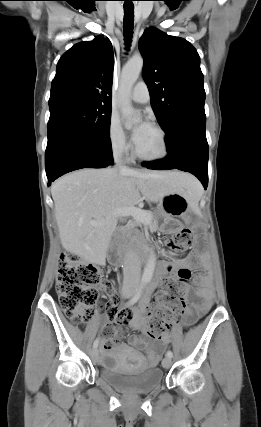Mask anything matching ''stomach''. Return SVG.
Segmentation results:
<instances>
[{"label":"stomach","instance_id":"stomach-1","mask_svg":"<svg viewBox=\"0 0 261 427\" xmlns=\"http://www.w3.org/2000/svg\"><path fill=\"white\" fill-rule=\"evenodd\" d=\"M190 208V201L183 192L167 194L158 203L157 213L159 217H180L186 214Z\"/></svg>","mask_w":261,"mask_h":427}]
</instances>
